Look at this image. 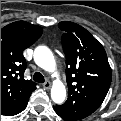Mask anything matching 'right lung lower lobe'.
<instances>
[{"mask_svg":"<svg viewBox=\"0 0 121 121\" xmlns=\"http://www.w3.org/2000/svg\"><path fill=\"white\" fill-rule=\"evenodd\" d=\"M28 100H29V98L22 105L17 107L15 110H13V111L5 114V115L6 116H12V115H16V114L20 113L21 111H23L26 108Z\"/></svg>","mask_w":121,"mask_h":121,"instance_id":"98d812e1","label":"right lung lower lobe"}]
</instances>
